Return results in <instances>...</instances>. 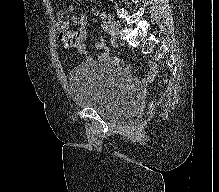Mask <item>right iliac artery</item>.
<instances>
[{
	"mask_svg": "<svg viewBox=\"0 0 219 192\" xmlns=\"http://www.w3.org/2000/svg\"><path fill=\"white\" fill-rule=\"evenodd\" d=\"M106 17H107V15L105 13H103L101 15V18H102L101 27L108 35H111L112 31H111V28H110V25L108 24V22L105 21Z\"/></svg>",
	"mask_w": 219,
	"mask_h": 192,
	"instance_id": "right-iliac-artery-1",
	"label": "right iliac artery"
}]
</instances>
